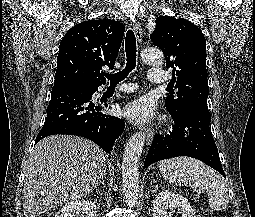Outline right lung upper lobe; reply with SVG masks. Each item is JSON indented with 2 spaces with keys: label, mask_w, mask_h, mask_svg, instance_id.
I'll return each instance as SVG.
<instances>
[{
  "label": "right lung upper lobe",
  "mask_w": 255,
  "mask_h": 217,
  "mask_svg": "<svg viewBox=\"0 0 255 217\" xmlns=\"http://www.w3.org/2000/svg\"><path fill=\"white\" fill-rule=\"evenodd\" d=\"M125 27L111 19L81 22L67 31L59 46L53 87L100 86L102 68H114Z\"/></svg>",
  "instance_id": "1"
}]
</instances>
